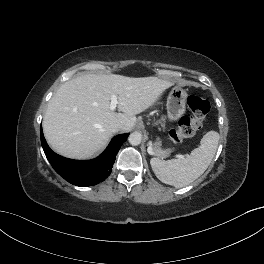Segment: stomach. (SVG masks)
I'll return each mask as SVG.
<instances>
[{"instance_id":"stomach-1","label":"stomach","mask_w":264,"mask_h":264,"mask_svg":"<svg viewBox=\"0 0 264 264\" xmlns=\"http://www.w3.org/2000/svg\"><path fill=\"white\" fill-rule=\"evenodd\" d=\"M187 96V92L179 86L171 89L167 97V115L169 120H177L184 114Z\"/></svg>"}]
</instances>
